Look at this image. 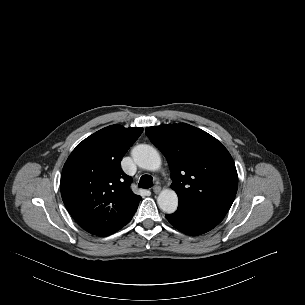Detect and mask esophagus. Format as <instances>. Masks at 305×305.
<instances>
[{
  "mask_svg": "<svg viewBox=\"0 0 305 305\" xmlns=\"http://www.w3.org/2000/svg\"><path fill=\"white\" fill-rule=\"evenodd\" d=\"M153 193L158 194L161 191V187L158 185H155L152 189Z\"/></svg>",
  "mask_w": 305,
  "mask_h": 305,
  "instance_id": "esophagus-1",
  "label": "esophagus"
}]
</instances>
